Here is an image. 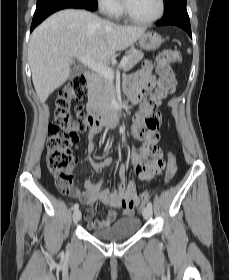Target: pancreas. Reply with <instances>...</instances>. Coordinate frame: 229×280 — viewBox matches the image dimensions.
<instances>
[{"instance_id": "pancreas-1", "label": "pancreas", "mask_w": 229, "mask_h": 280, "mask_svg": "<svg viewBox=\"0 0 229 280\" xmlns=\"http://www.w3.org/2000/svg\"><path fill=\"white\" fill-rule=\"evenodd\" d=\"M128 58L124 71L130 70L141 59L144 54L140 50L131 49L126 53ZM114 94V84L112 79L97 74L88 84V99L94 103L99 109H107L110 106L112 96Z\"/></svg>"}]
</instances>
